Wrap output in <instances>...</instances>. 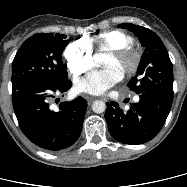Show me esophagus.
Here are the masks:
<instances>
[{
  "label": "esophagus",
  "mask_w": 187,
  "mask_h": 187,
  "mask_svg": "<svg viewBox=\"0 0 187 187\" xmlns=\"http://www.w3.org/2000/svg\"><path fill=\"white\" fill-rule=\"evenodd\" d=\"M84 98L86 99L88 104H91L95 100V97H92V96H89V95H84Z\"/></svg>",
  "instance_id": "1"
}]
</instances>
